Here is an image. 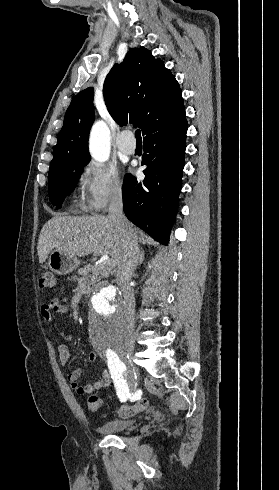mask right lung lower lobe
<instances>
[{"mask_svg": "<svg viewBox=\"0 0 279 490\" xmlns=\"http://www.w3.org/2000/svg\"><path fill=\"white\" fill-rule=\"evenodd\" d=\"M187 120L161 134L144 138L141 182L128 174L123 183L127 218L155 240L167 244L175 221L185 164ZM149 153V154H146Z\"/></svg>", "mask_w": 279, "mask_h": 490, "instance_id": "right-lung-lower-lobe-1", "label": "right lung lower lobe"}]
</instances>
